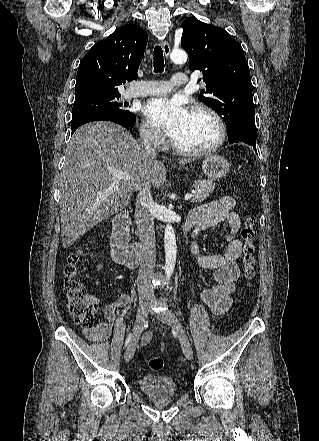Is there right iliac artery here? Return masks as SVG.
Listing matches in <instances>:
<instances>
[{
    "instance_id": "obj_1",
    "label": "right iliac artery",
    "mask_w": 319,
    "mask_h": 441,
    "mask_svg": "<svg viewBox=\"0 0 319 441\" xmlns=\"http://www.w3.org/2000/svg\"><path fill=\"white\" fill-rule=\"evenodd\" d=\"M130 339H131V334L128 335V337H127V339H126V341H125V346L128 345Z\"/></svg>"
}]
</instances>
